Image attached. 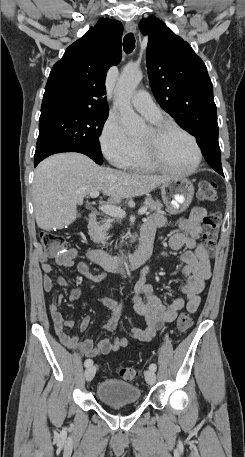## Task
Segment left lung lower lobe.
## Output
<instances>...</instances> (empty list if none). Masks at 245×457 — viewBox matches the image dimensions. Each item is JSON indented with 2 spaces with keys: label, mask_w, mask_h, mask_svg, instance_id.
Here are the masks:
<instances>
[{
  "label": "left lung lower lobe",
  "mask_w": 245,
  "mask_h": 457,
  "mask_svg": "<svg viewBox=\"0 0 245 457\" xmlns=\"http://www.w3.org/2000/svg\"><path fill=\"white\" fill-rule=\"evenodd\" d=\"M194 136L202 150L207 163L219 174L223 175L221 166V152L218 144V125H209L198 130Z\"/></svg>",
  "instance_id": "0a47b994"
}]
</instances>
